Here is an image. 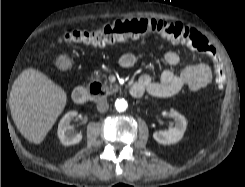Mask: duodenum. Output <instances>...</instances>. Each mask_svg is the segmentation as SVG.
Returning <instances> with one entry per match:
<instances>
[{"mask_svg": "<svg viewBox=\"0 0 245 187\" xmlns=\"http://www.w3.org/2000/svg\"><path fill=\"white\" fill-rule=\"evenodd\" d=\"M130 92L134 97H140L143 94L142 87L134 84L130 87ZM101 95L99 85H93L90 88L79 86L73 91V100L76 104H85L91 97Z\"/></svg>", "mask_w": 245, "mask_h": 187, "instance_id": "duodenum-1", "label": "duodenum"}]
</instances>
